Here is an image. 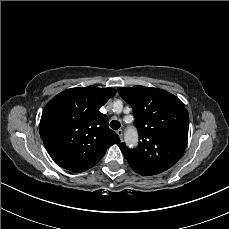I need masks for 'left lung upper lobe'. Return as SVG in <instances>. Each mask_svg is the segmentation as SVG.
I'll list each match as a JSON object with an SVG mask.
<instances>
[{
    "label": "left lung upper lobe",
    "mask_w": 229,
    "mask_h": 229,
    "mask_svg": "<svg viewBox=\"0 0 229 229\" xmlns=\"http://www.w3.org/2000/svg\"><path fill=\"white\" fill-rule=\"evenodd\" d=\"M118 92L133 108L140 140L136 149L119 145L124 157L143 176L166 171L180 159L187 145L189 115L184 104L158 88L138 85L120 87Z\"/></svg>",
    "instance_id": "obj_1"
}]
</instances>
